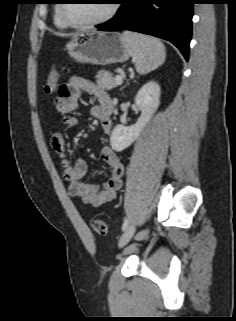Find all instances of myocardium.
Listing matches in <instances>:
<instances>
[{"instance_id": "obj_1", "label": "myocardium", "mask_w": 236, "mask_h": 321, "mask_svg": "<svg viewBox=\"0 0 236 321\" xmlns=\"http://www.w3.org/2000/svg\"><path fill=\"white\" fill-rule=\"evenodd\" d=\"M66 4L67 3L62 2L59 5L60 17L68 26L75 27V28H88V27H93V26H98V25L104 24L115 16V14L117 13L118 8H119L117 0H113V1H111V5L109 7L108 12L103 17H101L97 20H94V21H89V22H76V21L71 20L66 15V12H65Z\"/></svg>"}]
</instances>
